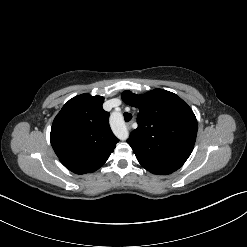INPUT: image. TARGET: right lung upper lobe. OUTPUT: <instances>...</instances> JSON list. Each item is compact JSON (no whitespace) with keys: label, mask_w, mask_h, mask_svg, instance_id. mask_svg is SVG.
<instances>
[{"label":"right lung upper lobe","mask_w":247,"mask_h":247,"mask_svg":"<svg viewBox=\"0 0 247 247\" xmlns=\"http://www.w3.org/2000/svg\"><path fill=\"white\" fill-rule=\"evenodd\" d=\"M104 98L81 94L70 99L55 117L51 145L60 162L76 174L98 170L119 141L109 126Z\"/></svg>","instance_id":"cb5924a9"}]
</instances>
